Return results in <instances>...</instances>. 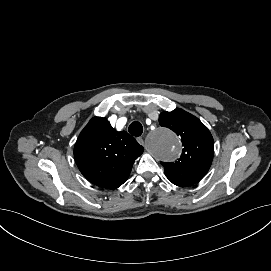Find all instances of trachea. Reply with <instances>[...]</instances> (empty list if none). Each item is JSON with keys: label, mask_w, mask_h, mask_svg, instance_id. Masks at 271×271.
<instances>
[{"label": "trachea", "mask_w": 271, "mask_h": 271, "mask_svg": "<svg viewBox=\"0 0 271 271\" xmlns=\"http://www.w3.org/2000/svg\"><path fill=\"white\" fill-rule=\"evenodd\" d=\"M128 131L133 136H140L143 133V126L140 122L134 121L128 127Z\"/></svg>", "instance_id": "1"}]
</instances>
